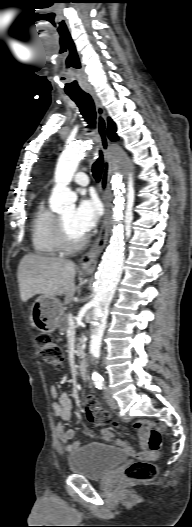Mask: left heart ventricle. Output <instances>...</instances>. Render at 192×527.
Returning <instances> with one entry per match:
<instances>
[{
    "instance_id": "obj_1",
    "label": "left heart ventricle",
    "mask_w": 192,
    "mask_h": 527,
    "mask_svg": "<svg viewBox=\"0 0 192 527\" xmlns=\"http://www.w3.org/2000/svg\"><path fill=\"white\" fill-rule=\"evenodd\" d=\"M73 213H74V210L71 208V209L65 210L59 216L63 221L64 227H65V230H66V233L69 239L72 241H77L80 238H82L83 235L80 232H78L73 226V223H72Z\"/></svg>"
}]
</instances>
